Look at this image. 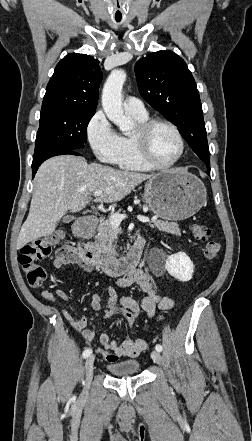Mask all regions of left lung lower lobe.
I'll use <instances>...</instances> for the list:
<instances>
[{
	"mask_svg": "<svg viewBox=\"0 0 252 441\" xmlns=\"http://www.w3.org/2000/svg\"><path fill=\"white\" fill-rule=\"evenodd\" d=\"M207 172L210 175V166H207Z\"/></svg>",
	"mask_w": 252,
	"mask_h": 441,
	"instance_id": "obj_1",
	"label": "left lung lower lobe"
}]
</instances>
